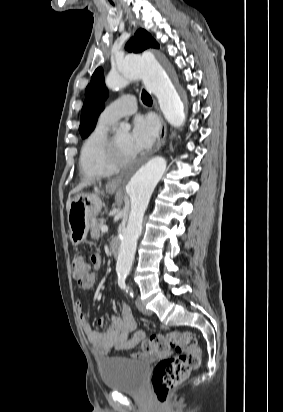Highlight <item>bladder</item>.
I'll return each instance as SVG.
<instances>
[{
  "label": "bladder",
  "mask_w": 283,
  "mask_h": 412,
  "mask_svg": "<svg viewBox=\"0 0 283 412\" xmlns=\"http://www.w3.org/2000/svg\"><path fill=\"white\" fill-rule=\"evenodd\" d=\"M149 365L127 359H111L101 365L104 386L120 392H141L144 389Z\"/></svg>",
  "instance_id": "31cf9c89"
}]
</instances>
